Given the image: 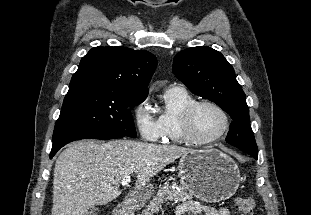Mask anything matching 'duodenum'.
I'll use <instances>...</instances> for the list:
<instances>
[{"mask_svg":"<svg viewBox=\"0 0 311 215\" xmlns=\"http://www.w3.org/2000/svg\"><path fill=\"white\" fill-rule=\"evenodd\" d=\"M130 208L125 205H119L116 207L115 215H130Z\"/></svg>","mask_w":311,"mask_h":215,"instance_id":"1","label":"duodenum"}]
</instances>
